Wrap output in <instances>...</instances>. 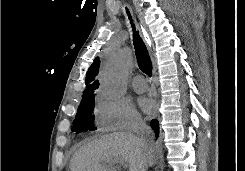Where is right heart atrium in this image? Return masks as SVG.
Returning <instances> with one entry per match:
<instances>
[{
    "mask_svg": "<svg viewBox=\"0 0 245 171\" xmlns=\"http://www.w3.org/2000/svg\"><path fill=\"white\" fill-rule=\"evenodd\" d=\"M95 123L102 132L133 131L143 126L140 115L130 103L105 91L97 96Z\"/></svg>",
    "mask_w": 245,
    "mask_h": 171,
    "instance_id": "d8ad5b80",
    "label": "right heart atrium"
}]
</instances>
